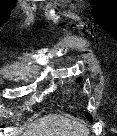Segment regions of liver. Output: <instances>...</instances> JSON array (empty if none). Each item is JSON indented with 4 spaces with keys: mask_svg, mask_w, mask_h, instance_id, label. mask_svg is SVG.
<instances>
[{
    "mask_svg": "<svg viewBox=\"0 0 117 136\" xmlns=\"http://www.w3.org/2000/svg\"><path fill=\"white\" fill-rule=\"evenodd\" d=\"M25 136H85L87 129L76 119L49 115L33 123Z\"/></svg>",
    "mask_w": 117,
    "mask_h": 136,
    "instance_id": "6515ba94",
    "label": "liver"
}]
</instances>
